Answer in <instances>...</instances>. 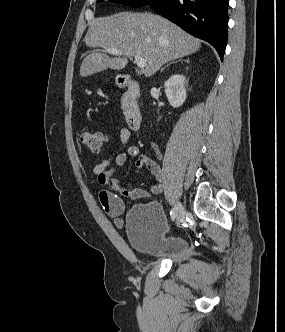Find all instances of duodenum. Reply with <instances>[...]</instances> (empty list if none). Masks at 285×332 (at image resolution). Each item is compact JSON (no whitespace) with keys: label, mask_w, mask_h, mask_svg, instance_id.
Segmentation results:
<instances>
[{"label":"duodenum","mask_w":285,"mask_h":332,"mask_svg":"<svg viewBox=\"0 0 285 332\" xmlns=\"http://www.w3.org/2000/svg\"><path fill=\"white\" fill-rule=\"evenodd\" d=\"M119 84L126 89L125 97L127 102L126 123L133 131H139L142 125V114L138 105L140 87L130 76L123 75L119 78Z\"/></svg>","instance_id":"410a0bca"}]
</instances>
